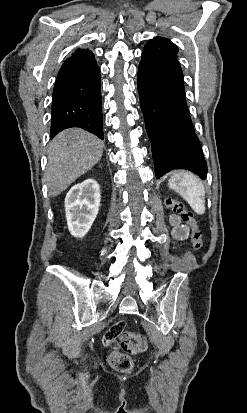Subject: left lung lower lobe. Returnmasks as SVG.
I'll return each mask as SVG.
<instances>
[{
	"label": "left lung lower lobe",
	"mask_w": 247,
	"mask_h": 413,
	"mask_svg": "<svg viewBox=\"0 0 247 413\" xmlns=\"http://www.w3.org/2000/svg\"><path fill=\"white\" fill-rule=\"evenodd\" d=\"M137 84L156 178L187 169L205 179L207 163L191 122L176 56L144 47Z\"/></svg>",
	"instance_id": "obj_1"
}]
</instances>
